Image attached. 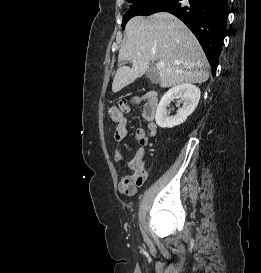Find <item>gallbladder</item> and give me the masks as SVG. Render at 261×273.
<instances>
[{"instance_id":"obj_1","label":"gallbladder","mask_w":261,"mask_h":273,"mask_svg":"<svg viewBox=\"0 0 261 273\" xmlns=\"http://www.w3.org/2000/svg\"><path fill=\"white\" fill-rule=\"evenodd\" d=\"M147 77L150 79L152 83H157L158 80V72L157 69L153 64L149 65V69L147 70L146 73Z\"/></svg>"}]
</instances>
